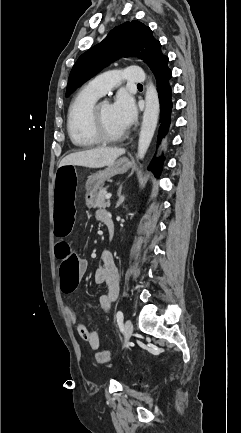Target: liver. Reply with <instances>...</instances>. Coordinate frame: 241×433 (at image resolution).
<instances>
[{
  "label": "liver",
  "mask_w": 241,
  "mask_h": 433,
  "mask_svg": "<svg viewBox=\"0 0 241 433\" xmlns=\"http://www.w3.org/2000/svg\"><path fill=\"white\" fill-rule=\"evenodd\" d=\"M125 153L121 148H96L75 152L64 157L60 164L83 166L88 168H102L112 164L120 155Z\"/></svg>",
  "instance_id": "1"
}]
</instances>
